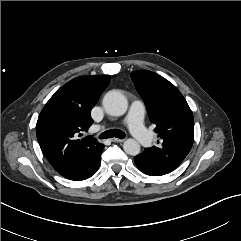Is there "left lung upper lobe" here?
<instances>
[{"mask_svg": "<svg viewBox=\"0 0 241 241\" xmlns=\"http://www.w3.org/2000/svg\"><path fill=\"white\" fill-rule=\"evenodd\" d=\"M143 98L158 137V146L137 155L146 164L177 168L189 153L194 140L193 114L179 90L162 76L147 70L131 74Z\"/></svg>", "mask_w": 241, "mask_h": 241, "instance_id": "5c2ea615", "label": "left lung upper lobe"}]
</instances>
